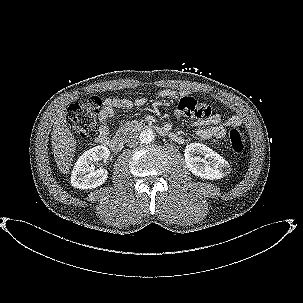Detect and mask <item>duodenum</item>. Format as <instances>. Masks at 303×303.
Segmentation results:
<instances>
[{
    "label": "duodenum",
    "instance_id": "410a0bca",
    "mask_svg": "<svg viewBox=\"0 0 303 303\" xmlns=\"http://www.w3.org/2000/svg\"><path fill=\"white\" fill-rule=\"evenodd\" d=\"M151 126L145 123H131L127 126L128 131L148 130ZM158 131L161 135L171 138V132L165 127H159ZM104 145L109 146L113 151L119 152L124 146V135L117 136L113 139H108Z\"/></svg>",
    "mask_w": 303,
    "mask_h": 303
}]
</instances>
